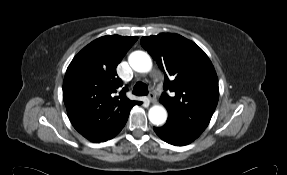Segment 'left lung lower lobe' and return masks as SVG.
<instances>
[{
	"label": "left lung lower lobe",
	"mask_w": 287,
	"mask_h": 175,
	"mask_svg": "<svg viewBox=\"0 0 287 175\" xmlns=\"http://www.w3.org/2000/svg\"><path fill=\"white\" fill-rule=\"evenodd\" d=\"M154 131L162 140L175 146H184L195 140L167 123L162 127H154Z\"/></svg>",
	"instance_id": "1"
}]
</instances>
